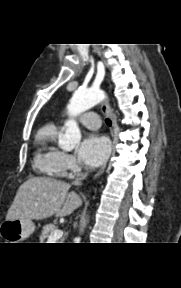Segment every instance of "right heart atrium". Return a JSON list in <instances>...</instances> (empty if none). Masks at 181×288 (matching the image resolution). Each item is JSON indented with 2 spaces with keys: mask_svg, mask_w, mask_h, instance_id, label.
I'll return each mask as SVG.
<instances>
[{
  "mask_svg": "<svg viewBox=\"0 0 181 288\" xmlns=\"http://www.w3.org/2000/svg\"><path fill=\"white\" fill-rule=\"evenodd\" d=\"M80 171V164L77 159L71 155L64 153L62 168L58 174L61 177H71Z\"/></svg>",
  "mask_w": 181,
  "mask_h": 288,
  "instance_id": "obj_1",
  "label": "right heart atrium"
}]
</instances>
